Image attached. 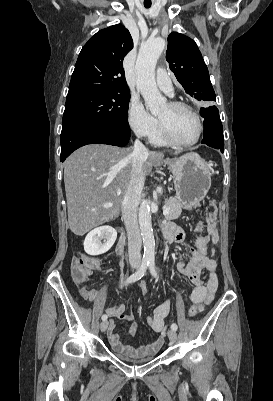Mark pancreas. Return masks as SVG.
Masks as SVG:
<instances>
[{
  "label": "pancreas",
  "mask_w": 273,
  "mask_h": 401,
  "mask_svg": "<svg viewBox=\"0 0 273 401\" xmlns=\"http://www.w3.org/2000/svg\"><path fill=\"white\" fill-rule=\"evenodd\" d=\"M168 205L172 206V209L169 210L168 215H165L166 221H173V219H178L182 213L181 205L177 198H168Z\"/></svg>",
  "instance_id": "pancreas-1"
}]
</instances>
